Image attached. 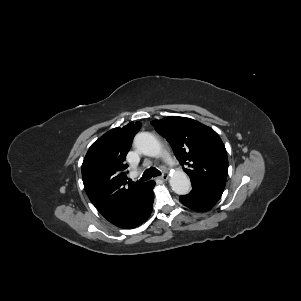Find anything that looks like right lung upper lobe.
<instances>
[{
	"mask_svg": "<svg viewBox=\"0 0 301 301\" xmlns=\"http://www.w3.org/2000/svg\"><path fill=\"white\" fill-rule=\"evenodd\" d=\"M140 122L114 128L89 148L83 164L85 191L101 215L114 225L130 212L145 183H129L124 170L125 157Z\"/></svg>",
	"mask_w": 301,
	"mask_h": 301,
	"instance_id": "obj_1",
	"label": "right lung upper lobe"
}]
</instances>
